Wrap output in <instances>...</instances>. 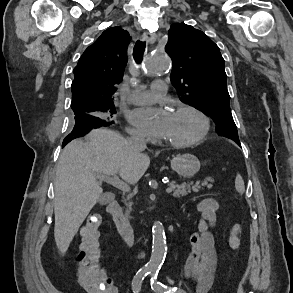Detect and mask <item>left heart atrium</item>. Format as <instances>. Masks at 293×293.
Returning <instances> with one entry per match:
<instances>
[{
	"label": "left heart atrium",
	"instance_id": "39dd6f15",
	"mask_svg": "<svg viewBox=\"0 0 293 293\" xmlns=\"http://www.w3.org/2000/svg\"><path fill=\"white\" fill-rule=\"evenodd\" d=\"M130 121L155 136L166 134L171 113L161 108H137L129 113Z\"/></svg>",
	"mask_w": 293,
	"mask_h": 293
}]
</instances>
